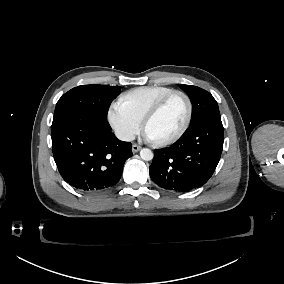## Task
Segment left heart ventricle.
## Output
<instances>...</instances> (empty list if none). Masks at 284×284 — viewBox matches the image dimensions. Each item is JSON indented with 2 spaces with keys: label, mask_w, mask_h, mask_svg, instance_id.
<instances>
[{
  "label": "left heart ventricle",
  "mask_w": 284,
  "mask_h": 284,
  "mask_svg": "<svg viewBox=\"0 0 284 284\" xmlns=\"http://www.w3.org/2000/svg\"><path fill=\"white\" fill-rule=\"evenodd\" d=\"M187 102L181 95L173 97L163 110L146 126L145 132L152 140L161 141L173 136L187 115Z\"/></svg>",
  "instance_id": "1"
}]
</instances>
